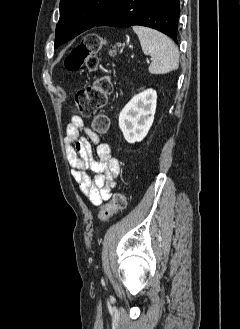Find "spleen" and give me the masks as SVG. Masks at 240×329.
<instances>
[{
	"label": "spleen",
	"instance_id": "3e777b00",
	"mask_svg": "<svg viewBox=\"0 0 240 329\" xmlns=\"http://www.w3.org/2000/svg\"><path fill=\"white\" fill-rule=\"evenodd\" d=\"M133 31L138 35L143 53L152 57L151 74H166L178 68L179 51L169 37L143 26H134Z\"/></svg>",
	"mask_w": 240,
	"mask_h": 329
}]
</instances>
